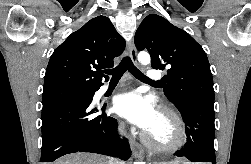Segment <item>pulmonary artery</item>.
Segmentation results:
<instances>
[{"label":"pulmonary artery","mask_w":251,"mask_h":164,"mask_svg":"<svg viewBox=\"0 0 251 164\" xmlns=\"http://www.w3.org/2000/svg\"><path fill=\"white\" fill-rule=\"evenodd\" d=\"M161 77H162V76H161V73H160L159 71H157V70L151 69V70H149V71L147 72V78L150 79V80H152V81L160 80ZM107 90H109V86H108V85H104V86H102V87L99 89L98 94H99V95H102V94H104Z\"/></svg>","instance_id":"e3ab8cb5"}]
</instances>
